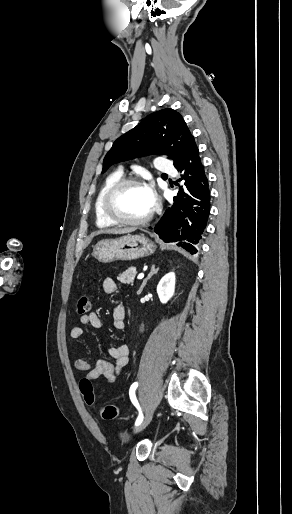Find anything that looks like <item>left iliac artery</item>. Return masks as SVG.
Listing matches in <instances>:
<instances>
[{"label": "left iliac artery", "mask_w": 292, "mask_h": 514, "mask_svg": "<svg viewBox=\"0 0 292 514\" xmlns=\"http://www.w3.org/2000/svg\"><path fill=\"white\" fill-rule=\"evenodd\" d=\"M137 387H138V382H134L131 385L130 390H129V395H130L131 401L136 406V408L138 409V412H139V415L135 421V426H139L141 424V422L143 421V413H142L141 408L138 404V401L135 397V391H136Z\"/></svg>", "instance_id": "1"}]
</instances>
